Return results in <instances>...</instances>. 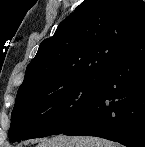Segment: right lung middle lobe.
Wrapping results in <instances>:
<instances>
[{
	"mask_svg": "<svg viewBox=\"0 0 145 147\" xmlns=\"http://www.w3.org/2000/svg\"><path fill=\"white\" fill-rule=\"evenodd\" d=\"M101 79V74H90L57 90H33L17 95L9 140L15 142L63 133L92 102Z\"/></svg>",
	"mask_w": 145,
	"mask_h": 147,
	"instance_id": "1",
	"label": "right lung middle lobe"
}]
</instances>
